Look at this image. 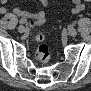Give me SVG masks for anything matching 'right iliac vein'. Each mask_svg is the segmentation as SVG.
<instances>
[{
	"label": "right iliac vein",
	"instance_id": "obj_1",
	"mask_svg": "<svg viewBox=\"0 0 91 91\" xmlns=\"http://www.w3.org/2000/svg\"><path fill=\"white\" fill-rule=\"evenodd\" d=\"M18 31H19L20 33H23V32L25 31V27H24L23 25L19 26V27H18Z\"/></svg>",
	"mask_w": 91,
	"mask_h": 91
}]
</instances>
